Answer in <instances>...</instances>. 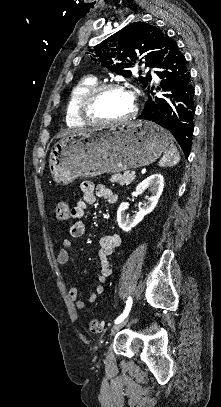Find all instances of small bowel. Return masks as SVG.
Segmentation results:
<instances>
[{
    "mask_svg": "<svg viewBox=\"0 0 221 407\" xmlns=\"http://www.w3.org/2000/svg\"><path fill=\"white\" fill-rule=\"evenodd\" d=\"M80 189L82 192V197L71 211L69 233L73 238H79L84 234L85 224L82 220L84 211L86 207L95 204L98 197L105 199L110 204H114L117 202V195L103 185H95L93 182L85 181L81 184ZM119 244L120 239L117 234H108L100 238V273L97 278L98 284L95 288V291L88 298L89 303H94L97 299V296L101 295L104 292V286L106 285L112 273V266L109 260V256L113 253L114 249L119 246ZM70 248L71 242L68 239L62 240L56 256L57 265L61 269H66L68 266L70 260ZM68 295L70 301L76 308L83 309L85 307L84 301L79 297L77 287L73 285L70 286Z\"/></svg>",
    "mask_w": 221,
    "mask_h": 407,
    "instance_id": "1",
    "label": "small bowel"
}]
</instances>
